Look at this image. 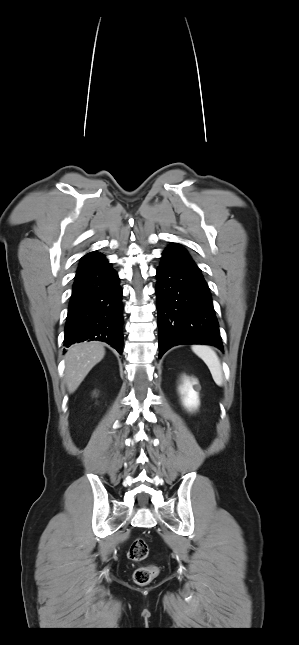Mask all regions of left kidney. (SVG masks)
<instances>
[{
	"label": "left kidney",
	"mask_w": 299,
	"mask_h": 645,
	"mask_svg": "<svg viewBox=\"0 0 299 645\" xmlns=\"http://www.w3.org/2000/svg\"><path fill=\"white\" fill-rule=\"evenodd\" d=\"M194 384H197L196 380L190 381L185 378L183 384L179 387L182 403L189 411L195 410L199 405L198 393L193 389Z\"/></svg>",
	"instance_id": "5707ae66"
}]
</instances>
